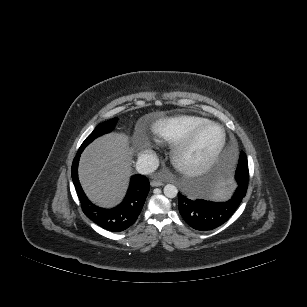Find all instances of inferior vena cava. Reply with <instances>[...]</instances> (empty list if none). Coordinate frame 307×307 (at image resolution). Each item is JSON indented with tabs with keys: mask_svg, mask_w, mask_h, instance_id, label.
Instances as JSON below:
<instances>
[{
	"mask_svg": "<svg viewBox=\"0 0 307 307\" xmlns=\"http://www.w3.org/2000/svg\"><path fill=\"white\" fill-rule=\"evenodd\" d=\"M159 166V159L154 153L142 154L136 162L138 173L147 175L154 172Z\"/></svg>",
	"mask_w": 307,
	"mask_h": 307,
	"instance_id": "inferior-vena-cava-1",
	"label": "inferior vena cava"
}]
</instances>
